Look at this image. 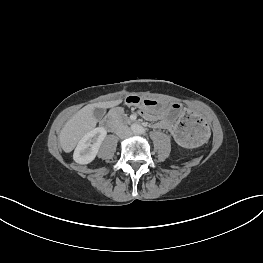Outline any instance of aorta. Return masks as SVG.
<instances>
[{
    "label": "aorta",
    "mask_w": 263,
    "mask_h": 263,
    "mask_svg": "<svg viewBox=\"0 0 263 263\" xmlns=\"http://www.w3.org/2000/svg\"><path fill=\"white\" fill-rule=\"evenodd\" d=\"M131 131L133 133H139V132L142 131V126L139 125V124L134 123V124L131 125Z\"/></svg>",
    "instance_id": "obj_1"
}]
</instances>
